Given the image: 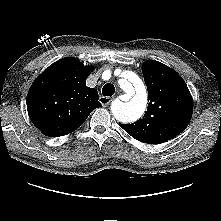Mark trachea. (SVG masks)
<instances>
[{"mask_svg": "<svg viewBox=\"0 0 221 221\" xmlns=\"http://www.w3.org/2000/svg\"><path fill=\"white\" fill-rule=\"evenodd\" d=\"M115 92V87L111 83H107L102 88V94L104 96H112Z\"/></svg>", "mask_w": 221, "mask_h": 221, "instance_id": "1", "label": "trachea"}]
</instances>
